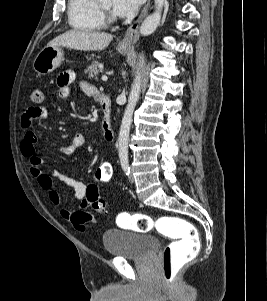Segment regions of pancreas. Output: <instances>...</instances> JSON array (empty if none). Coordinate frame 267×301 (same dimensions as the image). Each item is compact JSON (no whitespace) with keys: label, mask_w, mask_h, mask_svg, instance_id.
I'll return each instance as SVG.
<instances>
[{"label":"pancreas","mask_w":267,"mask_h":301,"mask_svg":"<svg viewBox=\"0 0 267 301\" xmlns=\"http://www.w3.org/2000/svg\"><path fill=\"white\" fill-rule=\"evenodd\" d=\"M102 70H103V64L94 61L90 66H88L85 69V73L88 75L89 78L95 77V79H97L98 73L102 72Z\"/></svg>","instance_id":"pancreas-1"}]
</instances>
